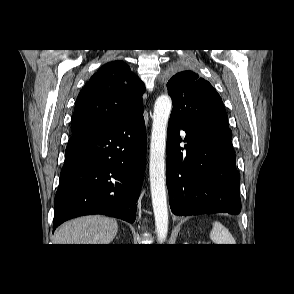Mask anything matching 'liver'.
Masks as SVG:
<instances>
[{"label":"liver","instance_id":"obj_1","mask_svg":"<svg viewBox=\"0 0 294 294\" xmlns=\"http://www.w3.org/2000/svg\"><path fill=\"white\" fill-rule=\"evenodd\" d=\"M118 231L115 219L91 215L73 219L55 232V244H110Z\"/></svg>","mask_w":294,"mask_h":294}]
</instances>
